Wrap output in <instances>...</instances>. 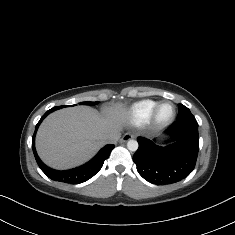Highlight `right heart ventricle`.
<instances>
[{"label": "right heart ventricle", "instance_id": "1", "mask_svg": "<svg viewBox=\"0 0 235 235\" xmlns=\"http://www.w3.org/2000/svg\"><path fill=\"white\" fill-rule=\"evenodd\" d=\"M157 103L154 100H142L128 106L110 108L106 113L108 118L115 123L126 122L139 126L150 120L152 110Z\"/></svg>", "mask_w": 235, "mask_h": 235}]
</instances>
